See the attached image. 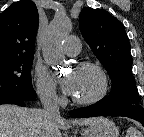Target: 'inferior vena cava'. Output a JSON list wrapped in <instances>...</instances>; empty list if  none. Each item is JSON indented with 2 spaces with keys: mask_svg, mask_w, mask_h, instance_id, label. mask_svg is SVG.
<instances>
[{
  "mask_svg": "<svg viewBox=\"0 0 144 137\" xmlns=\"http://www.w3.org/2000/svg\"><path fill=\"white\" fill-rule=\"evenodd\" d=\"M43 105L44 111L48 117H60L57 100L53 99L52 97H49L43 101Z\"/></svg>",
  "mask_w": 144,
  "mask_h": 137,
  "instance_id": "obj_1",
  "label": "inferior vena cava"
}]
</instances>
